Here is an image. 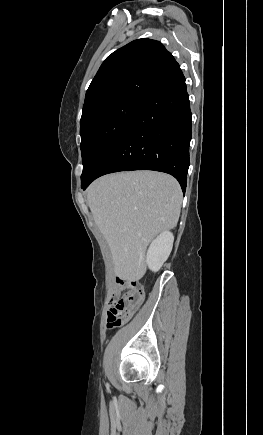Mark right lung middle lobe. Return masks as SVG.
<instances>
[{"label":"right lung middle lobe","mask_w":263,"mask_h":435,"mask_svg":"<svg viewBox=\"0 0 263 435\" xmlns=\"http://www.w3.org/2000/svg\"><path fill=\"white\" fill-rule=\"evenodd\" d=\"M144 102L120 100L93 109L80 123L83 172L90 178Z\"/></svg>","instance_id":"dd1d6c3e"}]
</instances>
